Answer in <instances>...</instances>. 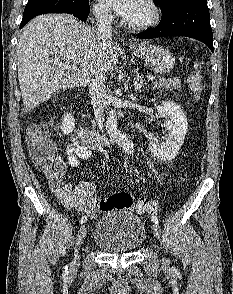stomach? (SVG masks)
<instances>
[{
	"instance_id": "stomach-1",
	"label": "stomach",
	"mask_w": 233,
	"mask_h": 294,
	"mask_svg": "<svg viewBox=\"0 0 233 294\" xmlns=\"http://www.w3.org/2000/svg\"><path fill=\"white\" fill-rule=\"evenodd\" d=\"M133 53L159 74L169 73L175 64L170 51L159 45L140 46Z\"/></svg>"
}]
</instances>
